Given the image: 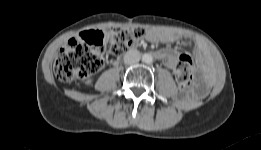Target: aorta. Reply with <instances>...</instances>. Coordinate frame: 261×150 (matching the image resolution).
I'll return each mask as SVG.
<instances>
[{"label":"aorta","mask_w":261,"mask_h":150,"mask_svg":"<svg viewBox=\"0 0 261 150\" xmlns=\"http://www.w3.org/2000/svg\"><path fill=\"white\" fill-rule=\"evenodd\" d=\"M142 61L146 64H151L153 62V57L152 55L146 53L142 56Z\"/></svg>","instance_id":"aorta-1"}]
</instances>
